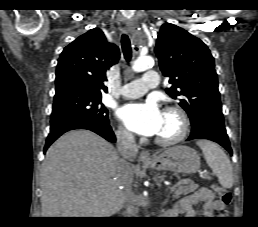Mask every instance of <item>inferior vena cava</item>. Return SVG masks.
I'll list each match as a JSON object with an SVG mask.
<instances>
[{
    "mask_svg": "<svg viewBox=\"0 0 258 227\" xmlns=\"http://www.w3.org/2000/svg\"><path fill=\"white\" fill-rule=\"evenodd\" d=\"M117 137V149L118 153L122 156L119 160V167L125 170L130 168V162H132L138 153V146L135 142L134 135L127 130H119L116 133ZM125 177H128V173H125ZM127 213L129 204L128 201L125 203Z\"/></svg>",
    "mask_w": 258,
    "mask_h": 227,
    "instance_id": "inferior-vena-cava-1",
    "label": "inferior vena cava"
}]
</instances>
